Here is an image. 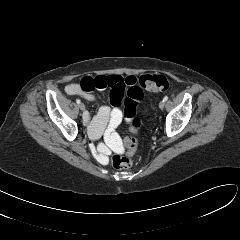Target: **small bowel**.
<instances>
[{
	"label": "small bowel",
	"mask_w": 240,
	"mask_h": 240,
	"mask_svg": "<svg viewBox=\"0 0 240 240\" xmlns=\"http://www.w3.org/2000/svg\"><path fill=\"white\" fill-rule=\"evenodd\" d=\"M137 78L133 75L122 77L119 75H99L96 77L86 76L80 83H71L67 86V92L77 94L88 101H93L95 96L92 91L95 89L110 88V101L112 108L102 107L95 118L92 119L89 113L84 114L83 119L88 125L89 133L92 138H99L107 129L112 132L121 123L123 113L120 109L125 92L137 84Z\"/></svg>",
	"instance_id": "c3829d8e"
}]
</instances>
